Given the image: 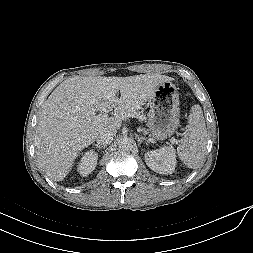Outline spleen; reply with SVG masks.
Listing matches in <instances>:
<instances>
[{
	"label": "spleen",
	"mask_w": 253,
	"mask_h": 253,
	"mask_svg": "<svg viewBox=\"0 0 253 253\" xmlns=\"http://www.w3.org/2000/svg\"><path fill=\"white\" fill-rule=\"evenodd\" d=\"M206 125L200 105L191 107L188 125L177 148L179 158L191 169L203 165L207 144Z\"/></svg>",
	"instance_id": "1"
}]
</instances>
